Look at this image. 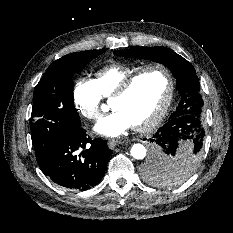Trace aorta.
<instances>
[{"label":"aorta","instance_id":"762f6f07","mask_svg":"<svg viewBox=\"0 0 233 233\" xmlns=\"http://www.w3.org/2000/svg\"><path fill=\"white\" fill-rule=\"evenodd\" d=\"M147 150L144 145L140 143L133 144L131 147V155L137 159L142 160L145 158Z\"/></svg>","mask_w":233,"mask_h":233}]
</instances>
